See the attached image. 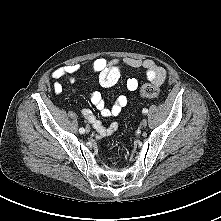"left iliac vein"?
I'll use <instances>...</instances> for the list:
<instances>
[{"label": "left iliac vein", "instance_id": "left-iliac-vein-1", "mask_svg": "<svg viewBox=\"0 0 221 221\" xmlns=\"http://www.w3.org/2000/svg\"><path fill=\"white\" fill-rule=\"evenodd\" d=\"M147 124H148L147 119H143V120L141 121V126H142V127H146Z\"/></svg>", "mask_w": 221, "mask_h": 221}]
</instances>
